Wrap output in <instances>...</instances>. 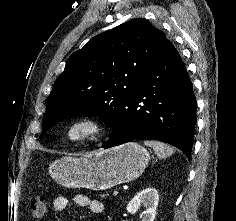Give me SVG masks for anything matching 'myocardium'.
I'll return each mask as SVG.
<instances>
[{"label":"myocardium","mask_w":236,"mask_h":221,"mask_svg":"<svg viewBox=\"0 0 236 221\" xmlns=\"http://www.w3.org/2000/svg\"><path fill=\"white\" fill-rule=\"evenodd\" d=\"M81 131L80 134L75 132ZM105 123L96 116L85 115L71 120L64 128V137L72 145L88 143L104 134Z\"/></svg>","instance_id":"1"}]
</instances>
